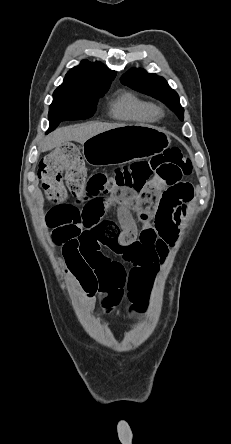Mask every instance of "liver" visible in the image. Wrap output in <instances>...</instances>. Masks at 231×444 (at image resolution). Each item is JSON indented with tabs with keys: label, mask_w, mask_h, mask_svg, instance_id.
Returning <instances> with one entry per match:
<instances>
[{
	"label": "liver",
	"mask_w": 231,
	"mask_h": 444,
	"mask_svg": "<svg viewBox=\"0 0 231 444\" xmlns=\"http://www.w3.org/2000/svg\"><path fill=\"white\" fill-rule=\"evenodd\" d=\"M123 126L125 125L91 122L78 126L59 128L46 137L45 142L42 145V151L46 152L52 150L53 148L60 146L62 143H67L69 141L83 144L89 138L99 133Z\"/></svg>",
	"instance_id": "obj_1"
}]
</instances>
